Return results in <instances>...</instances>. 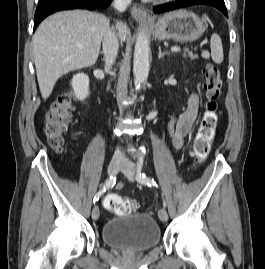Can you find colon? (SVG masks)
<instances>
[{
	"label": "colon",
	"mask_w": 265,
	"mask_h": 269,
	"mask_svg": "<svg viewBox=\"0 0 265 269\" xmlns=\"http://www.w3.org/2000/svg\"><path fill=\"white\" fill-rule=\"evenodd\" d=\"M206 103L201 121L193 142V159L203 162L212 147L216 135L218 116V99L221 95L222 80L220 72L213 64L205 67ZM73 97L69 94L60 96L45 115L44 134L49 144L61 150L65 143V134L73 110ZM105 208L116 214H128L135 207V201L117 194H110L104 200Z\"/></svg>",
	"instance_id": "1"
}]
</instances>
